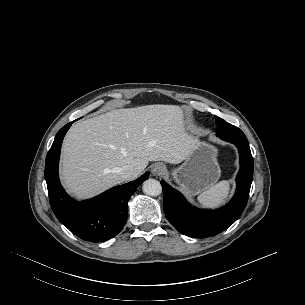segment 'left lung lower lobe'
<instances>
[{
  "label": "left lung lower lobe",
  "instance_id": "left-lung-lower-lobe-1",
  "mask_svg": "<svg viewBox=\"0 0 305 305\" xmlns=\"http://www.w3.org/2000/svg\"><path fill=\"white\" fill-rule=\"evenodd\" d=\"M223 140L235 144L240 154L237 189L228 205L216 211H200L190 207L181 193L161 181L166 217L179 232L189 237L206 238L226 230L239 218L248 201L253 178V157L248 141Z\"/></svg>",
  "mask_w": 305,
  "mask_h": 305
}]
</instances>
